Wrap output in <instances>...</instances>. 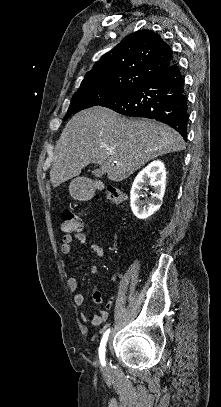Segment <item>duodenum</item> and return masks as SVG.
I'll return each mask as SVG.
<instances>
[{"mask_svg":"<svg viewBox=\"0 0 221 407\" xmlns=\"http://www.w3.org/2000/svg\"><path fill=\"white\" fill-rule=\"evenodd\" d=\"M94 192H95V188L89 187V188H87L86 191H85V196H86L87 198H91L92 195L94 194Z\"/></svg>","mask_w":221,"mask_h":407,"instance_id":"1","label":"duodenum"}]
</instances>
